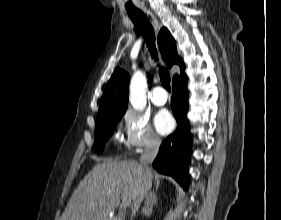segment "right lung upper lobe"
Returning <instances> with one entry per match:
<instances>
[{
    "mask_svg": "<svg viewBox=\"0 0 281 220\" xmlns=\"http://www.w3.org/2000/svg\"><path fill=\"white\" fill-rule=\"evenodd\" d=\"M158 46L168 67H171L173 64L180 66L181 77L175 75L173 83L181 79H186L184 75V64L178 57L175 40L164 27L158 35ZM128 83L129 75L124 70L116 68L106 84L100 100L97 121L125 113L128 104Z\"/></svg>",
    "mask_w": 281,
    "mask_h": 220,
    "instance_id": "1",
    "label": "right lung upper lobe"
}]
</instances>
